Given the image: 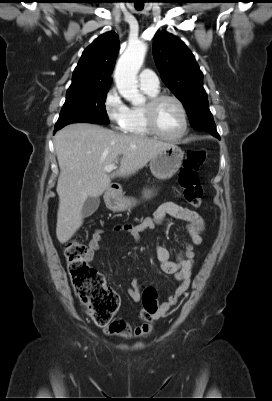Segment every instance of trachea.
Returning a JSON list of instances; mask_svg holds the SVG:
<instances>
[{
  "label": "trachea",
  "mask_w": 272,
  "mask_h": 401,
  "mask_svg": "<svg viewBox=\"0 0 272 401\" xmlns=\"http://www.w3.org/2000/svg\"><path fill=\"white\" fill-rule=\"evenodd\" d=\"M144 7V4L142 2H137L135 1V8L138 10H142Z\"/></svg>",
  "instance_id": "3493384b"
}]
</instances>
